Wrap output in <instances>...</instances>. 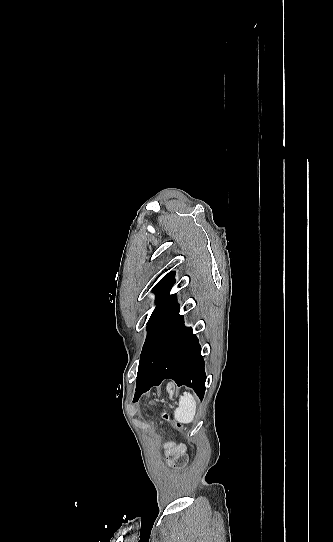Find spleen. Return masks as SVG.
I'll return each instance as SVG.
<instances>
[{"label":"spleen","mask_w":333,"mask_h":542,"mask_svg":"<svg viewBox=\"0 0 333 542\" xmlns=\"http://www.w3.org/2000/svg\"><path fill=\"white\" fill-rule=\"evenodd\" d=\"M197 410V402L190 392H183L180 398L179 408L174 412V418L180 424H192Z\"/></svg>","instance_id":"obj_1"}]
</instances>
